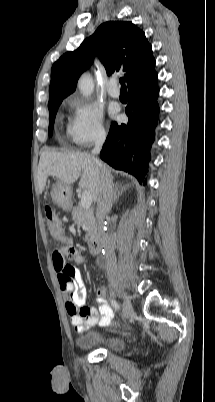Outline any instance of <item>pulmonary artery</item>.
Listing matches in <instances>:
<instances>
[{
    "label": "pulmonary artery",
    "instance_id": "1",
    "mask_svg": "<svg viewBox=\"0 0 215 402\" xmlns=\"http://www.w3.org/2000/svg\"><path fill=\"white\" fill-rule=\"evenodd\" d=\"M107 92L113 98H118L120 96V90L117 86V80L115 78L109 80L107 85Z\"/></svg>",
    "mask_w": 215,
    "mask_h": 402
}]
</instances>
